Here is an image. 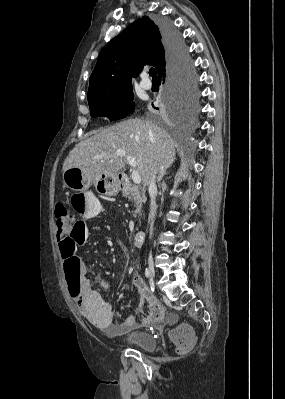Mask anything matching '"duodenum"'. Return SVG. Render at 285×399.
Instances as JSON below:
<instances>
[{"mask_svg":"<svg viewBox=\"0 0 285 399\" xmlns=\"http://www.w3.org/2000/svg\"><path fill=\"white\" fill-rule=\"evenodd\" d=\"M145 238H146V231L140 229L135 232L133 240L136 245H141L144 242Z\"/></svg>","mask_w":285,"mask_h":399,"instance_id":"duodenum-1","label":"duodenum"}]
</instances>
